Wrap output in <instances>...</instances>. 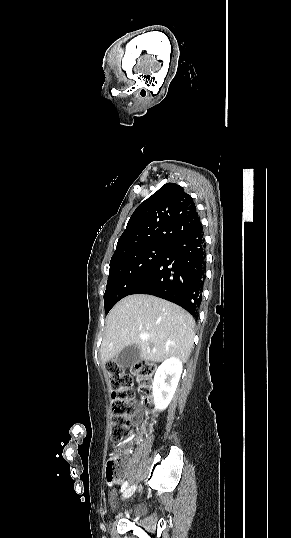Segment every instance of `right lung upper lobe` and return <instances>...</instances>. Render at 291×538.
I'll return each instance as SVG.
<instances>
[{
    "label": "right lung upper lobe",
    "instance_id": "right-lung-upper-lobe-1",
    "mask_svg": "<svg viewBox=\"0 0 291 538\" xmlns=\"http://www.w3.org/2000/svg\"><path fill=\"white\" fill-rule=\"evenodd\" d=\"M200 227L192 197L181 186L167 183L133 212L112 258L145 246H171Z\"/></svg>",
    "mask_w": 291,
    "mask_h": 538
}]
</instances>
